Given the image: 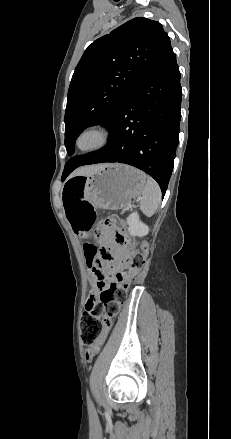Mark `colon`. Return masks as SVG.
<instances>
[{
    "mask_svg": "<svg viewBox=\"0 0 231 439\" xmlns=\"http://www.w3.org/2000/svg\"><path fill=\"white\" fill-rule=\"evenodd\" d=\"M84 190V182L80 179L69 181L63 189V195L67 202L76 208L72 215L74 227L78 231H88L96 223V215L93 208L87 202H78L77 197ZM113 218H105L102 225L109 227ZM114 241L120 245H126L128 240L124 233L117 232ZM147 250L143 244L141 251L131 252L126 261H122V268L117 274L110 278L109 287L103 289L100 294V304L87 308L81 318V340L86 347L87 358H92L98 351L96 343L105 339L112 320L119 314L125 299L126 293L132 283L135 273L140 270L144 263V253ZM98 255L97 247L86 250V261L91 267ZM106 258L104 254L102 256ZM100 280H105L103 273L97 274Z\"/></svg>",
    "mask_w": 231,
    "mask_h": 439,
    "instance_id": "obj_1",
    "label": "colon"
}]
</instances>
